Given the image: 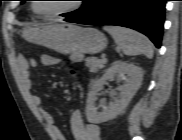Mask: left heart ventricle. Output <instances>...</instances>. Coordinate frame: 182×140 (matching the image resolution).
<instances>
[{
  "label": "left heart ventricle",
  "mask_w": 182,
  "mask_h": 140,
  "mask_svg": "<svg viewBox=\"0 0 182 140\" xmlns=\"http://www.w3.org/2000/svg\"><path fill=\"white\" fill-rule=\"evenodd\" d=\"M73 3L70 1H44L36 4L40 13L48 14L69 8Z\"/></svg>",
  "instance_id": "b2bd125f"
}]
</instances>
